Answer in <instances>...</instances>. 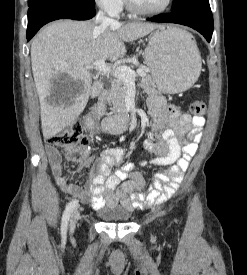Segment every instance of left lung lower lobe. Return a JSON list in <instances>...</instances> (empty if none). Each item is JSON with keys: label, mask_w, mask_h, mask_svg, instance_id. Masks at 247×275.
I'll list each match as a JSON object with an SVG mask.
<instances>
[{"label": "left lung lower lobe", "mask_w": 247, "mask_h": 275, "mask_svg": "<svg viewBox=\"0 0 247 275\" xmlns=\"http://www.w3.org/2000/svg\"><path fill=\"white\" fill-rule=\"evenodd\" d=\"M148 20L189 26L200 32L208 42H210L213 33V16L209 4L197 5L178 12L161 14Z\"/></svg>", "instance_id": "obj_1"}]
</instances>
